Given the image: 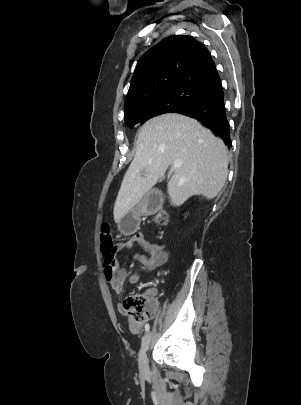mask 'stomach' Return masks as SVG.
I'll use <instances>...</instances> for the list:
<instances>
[{
    "instance_id": "stomach-1",
    "label": "stomach",
    "mask_w": 301,
    "mask_h": 405,
    "mask_svg": "<svg viewBox=\"0 0 301 405\" xmlns=\"http://www.w3.org/2000/svg\"><path fill=\"white\" fill-rule=\"evenodd\" d=\"M140 220V213L137 210H130L127 212L121 220L118 222V227L119 229L124 232H132L134 231L139 224ZM133 225L132 227H129V225Z\"/></svg>"
}]
</instances>
